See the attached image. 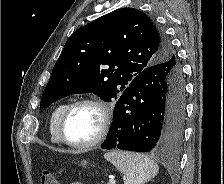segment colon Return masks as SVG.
<instances>
[{"label":"colon","mask_w":224,"mask_h":184,"mask_svg":"<svg viewBox=\"0 0 224 184\" xmlns=\"http://www.w3.org/2000/svg\"><path fill=\"white\" fill-rule=\"evenodd\" d=\"M40 184H59V182L52 172L45 170L41 175Z\"/></svg>","instance_id":"obj_1"}]
</instances>
